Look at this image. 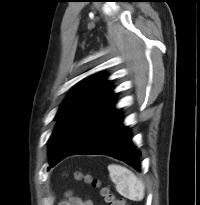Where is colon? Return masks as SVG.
Listing matches in <instances>:
<instances>
[{
	"mask_svg": "<svg viewBox=\"0 0 200 205\" xmlns=\"http://www.w3.org/2000/svg\"><path fill=\"white\" fill-rule=\"evenodd\" d=\"M76 177H77V179L84 180L85 182L90 183L93 186H96V187L100 186V181L93 178L89 174H83V173L79 172V173H77ZM101 195L103 196L107 205H127L123 199L117 198L112 193V191L107 187H103L101 189Z\"/></svg>",
	"mask_w": 200,
	"mask_h": 205,
	"instance_id": "obj_1",
	"label": "colon"
}]
</instances>
